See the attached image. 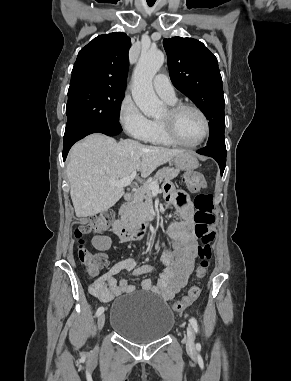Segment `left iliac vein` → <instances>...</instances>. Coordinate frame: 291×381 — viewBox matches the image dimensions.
<instances>
[{
    "label": "left iliac vein",
    "instance_id": "left-iliac-vein-1",
    "mask_svg": "<svg viewBox=\"0 0 291 381\" xmlns=\"http://www.w3.org/2000/svg\"><path fill=\"white\" fill-rule=\"evenodd\" d=\"M186 346L191 351L195 349V333L191 326L187 327Z\"/></svg>",
    "mask_w": 291,
    "mask_h": 381
}]
</instances>
